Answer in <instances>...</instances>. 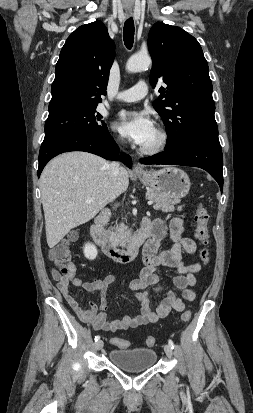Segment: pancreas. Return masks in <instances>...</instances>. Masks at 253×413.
<instances>
[{"instance_id":"cf45deb5","label":"pancreas","mask_w":253,"mask_h":413,"mask_svg":"<svg viewBox=\"0 0 253 413\" xmlns=\"http://www.w3.org/2000/svg\"><path fill=\"white\" fill-rule=\"evenodd\" d=\"M146 198L155 202V205L153 206L155 210H161L163 212H173L175 210V205L180 202L179 199H172L152 189L147 190ZM177 210L181 211L182 206H179ZM113 229L115 230V232L113 231ZM113 229L108 231L112 237V241L118 245H123V239L127 234V226L121 223L119 226H116V228Z\"/></svg>"}]
</instances>
